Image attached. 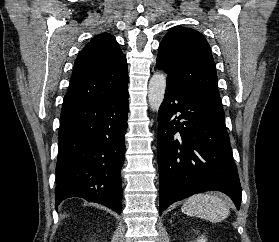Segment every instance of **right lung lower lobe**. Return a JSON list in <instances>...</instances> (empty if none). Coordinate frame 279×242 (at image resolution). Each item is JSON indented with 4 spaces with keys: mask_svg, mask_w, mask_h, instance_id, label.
Returning <instances> with one entry per match:
<instances>
[{
    "mask_svg": "<svg viewBox=\"0 0 279 242\" xmlns=\"http://www.w3.org/2000/svg\"><path fill=\"white\" fill-rule=\"evenodd\" d=\"M128 87L96 101L63 107L58 134L56 208L80 197L121 213Z\"/></svg>",
    "mask_w": 279,
    "mask_h": 242,
    "instance_id": "1",
    "label": "right lung lower lobe"
}]
</instances>
